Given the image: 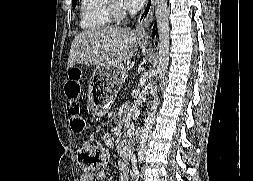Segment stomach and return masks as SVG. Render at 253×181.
<instances>
[{
  "label": "stomach",
  "mask_w": 253,
  "mask_h": 181,
  "mask_svg": "<svg viewBox=\"0 0 253 181\" xmlns=\"http://www.w3.org/2000/svg\"><path fill=\"white\" fill-rule=\"evenodd\" d=\"M126 69V63L95 68L89 86V111L93 117H102L109 111L125 80Z\"/></svg>",
  "instance_id": "1"
}]
</instances>
